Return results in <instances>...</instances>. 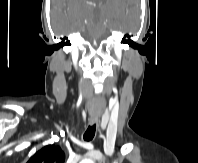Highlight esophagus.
I'll use <instances>...</instances> for the list:
<instances>
[{"mask_svg":"<svg viewBox=\"0 0 198 163\" xmlns=\"http://www.w3.org/2000/svg\"><path fill=\"white\" fill-rule=\"evenodd\" d=\"M90 122H91V124H95V123L98 122V118L92 117V118L90 119Z\"/></svg>","mask_w":198,"mask_h":163,"instance_id":"34e87169","label":"esophagus"}]
</instances>
